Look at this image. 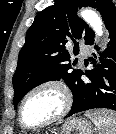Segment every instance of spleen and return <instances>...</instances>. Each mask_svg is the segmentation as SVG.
I'll list each match as a JSON object with an SVG mask.
<instances>
[{
  "mask_svg": "<svg viewBox=\"0 0 116 134\" xmlns=\"http://www.w3.org/2000/svg\"><path fill=\"white\" fill-rule=\"evenodd\" d=\"M86 116L95 124L99 134H116V113L101 109L87 111Z\"/></svg>",
  "mask_w": 116,
  "mask_h": 134,
  "instance_id": "3e777b00",
  "label": "spleen"
}]
</instances>
